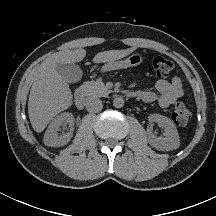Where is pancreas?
I'll list each match as a JSON object with an SVG mask.
<instances>
[{"mask_svg": "<svg viewBox=\"0 0 216 216\" xmlns=\"http://www.w3.org/2000/svg\"><path fill=\"white\" fill-rule=\"evenodd\" d=\"M89 96L105 97L112 91L107 88L101 79L85 83Z\"/></svg>", "mask_w": 216, "mask_h": 216, "instance_id": "cf45deb5", "label": "pancreas"}]
</instances>
